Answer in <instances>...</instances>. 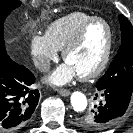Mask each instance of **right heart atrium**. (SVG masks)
<instances>
[{
	"label": "right heart atrium",
	"instance_id": "d8ad5b80",
	"mask_svg": "<svg viewBox=\"0 0 133 133\" xmlns=\"http://www.w3.org/2000/svg\"><path fill=\"white\" fill-rule=\"evenodd\" d=\"M29 47L34 65L40 71H46L50 63L57 59L58 51L50 44L45 35L34 34L30 39Z\"/></svg>",
	"mask_w": 133,
	"mask_h": 133
}]
</instances>
